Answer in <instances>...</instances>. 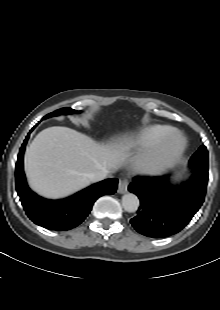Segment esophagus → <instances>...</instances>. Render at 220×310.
I'll return each instance as SVG.
<instances>
[{
	"mask_svg": "<svg viewBox=\"0 0 220 310\" xmlns=\"http://www.w3.org/2000/svg\"><path fill=\"white\" fill-rule=\"evenodd\" d=\"M127 189H128V182L125 178H121L119 180V183H118V189H117V192L120 193V194H124L127 192Z\"/></svg>",
	"mask_w": 220,
	"mask_h": 310,
	"instance_id": "1",
	"label": "esophagus"
}]
</instances>
